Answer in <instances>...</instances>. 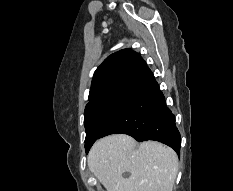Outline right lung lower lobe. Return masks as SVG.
Returning a JSON list of instances; mask_svg holds the SVG:
<instances>
[{
  "label": "right lung lower lobe",
  "mask_w": 233,
  "mask_h": 191,
  "mask_svg": "<svg viewBox=\"0 0 233 191\" xmlns=\"http://www.w3.org/2000/svg\"><path fill=\"white\" fill-rule=\"evenodd\" d=\"M114 133L128 134L137 141L156 140L180 153L181 137L174 114L166 106L165 97L148 67L128 89L126 105L98 139Z\"/></svg>",
  "instance_id": "obj_1"
}]
</instances>
